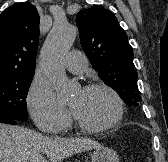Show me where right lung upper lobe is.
I'll return each instance as SVG.
<instances>
[{
	"instance_id": "obj_1",
	"label": "right lung upper lobe",
	"mask_w": 168,
	"mask_h": 162,
	"mask_svg": "<svg viewBox=\"0 0 168 162\" xmlns=\"http://www.w3.org/2000/svg\"><path fill=\"white\" fill-rule=\"evenodd\" d=\"M39 15L30 3H19L0 15V79L35 70Z\"/></svg>"
}]
</instances>
